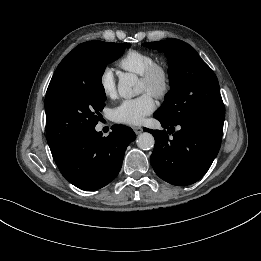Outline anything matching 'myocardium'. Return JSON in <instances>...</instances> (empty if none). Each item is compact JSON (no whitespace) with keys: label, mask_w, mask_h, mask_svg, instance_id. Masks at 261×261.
Here are the masks:
<instances>
[{"label":"myocardium","mask_w":261,"mask_h":261,"mask_svg":"<svg viewBox=\"0 0 261 261\" xmlns=\"http://www.w3.org/2000/svg\"><path fill=\"white\" fill-rule=\"evenodd\" d=\"M141 81L146 85L148 93L161 99L171 88L170 70L164 63L156 61L141 75Z\"/></svg>","instance_id":"obj_1"}]
</instances>
